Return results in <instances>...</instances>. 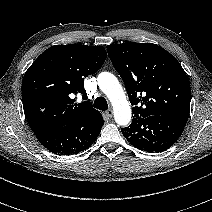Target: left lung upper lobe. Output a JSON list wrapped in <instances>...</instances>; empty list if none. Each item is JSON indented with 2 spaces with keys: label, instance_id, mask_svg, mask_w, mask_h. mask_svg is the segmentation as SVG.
<instances>
[{
  "label": "left lung upper lobe",
  "instance_id": "left-lung-upper-lobe-1",
  "mask_svg": "<svg viewBox=\"0 0 212 212\" xmlns=\"http://www.w3.org/2000/svg\"><path fill=\"white\" fill-rule=\"evenodd\" d=\"M108 55L125 83L134 117L188 119L191 89L180 63L153 43L107 46Z\"/></svg>",
  "mask_w": 212,
  "mask_h": 212
}]
</instances>
